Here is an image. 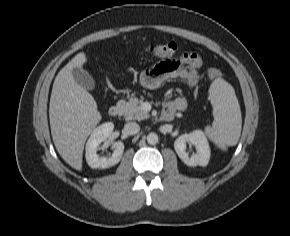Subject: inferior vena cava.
I'll return each instance as SVG.
<instances>
[{
    "label": "inferior vena cava",
    "instance_id": "obj_1",
    "mask_svg": "<svg viewBox=\"0 0 290 236\" xmlns=\"http://www.w3.org/2000/svg\"><path fill=\"white\" fill-rule=\"evenodd\" d=\"M124 129L128 134L134 135L140 131V126L135 122H128L125 124Z\"/></svg>",
    "mask_w": 290,
    "mask_h": 236
}]
</instances>
